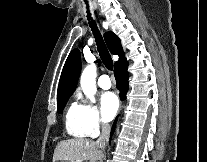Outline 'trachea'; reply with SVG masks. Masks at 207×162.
Segmentation results:
<instances>
[{"label": "trachea", "mask_w": 207, "mask_h": 162, "mask_svg": "<svg viewBox=\"0 0 207 162\" xmlns=\"http://www.w3.org/2000/svg\"><path fill=\"white\" fill-rule=\"evenodd\" d=\"M87 18L89 20L90 27L93 31L96 45H97V49H98L99 55L102 59V62L108 70H113L112 58H111V56L108 52V49L103 41L102 35L100 34L95 22L91 18V14L89 13V11H88Z\"/></svg>", "instance_id": "1"}]
</instances>
